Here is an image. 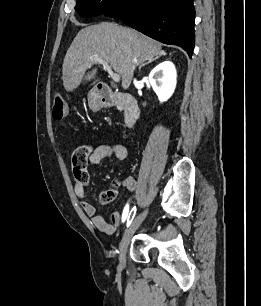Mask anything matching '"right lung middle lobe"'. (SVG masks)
<instances>
[{
  "label": "right lung middle lobe",
  "mask_w": 261,
  "mask_h": 306,
  "mask_svg": "<svg viewBox=\"0 0 261 306\" xmlns=\"http://www.w3.org/2000/svg\"><path fill=\"white\" fill-rule=\"evenodd\" d=\"M127 0H77L75 10L84 18L104 14Z\"/></svg>",
  "instance_id": "obj_1"
}]
</instances>
